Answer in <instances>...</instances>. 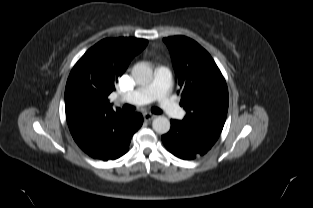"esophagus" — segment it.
Wrapping results in <instances>:
<instances>
[{
	"label": "esophagus",
	"instance_id": "34e87169",
	"mask_svg": "<svg viewBox=\"0 0 313 208\" xmlns=\"http://www.w3.org/2000/svg\"><path fill=\"white\" fill-rule=\"evenodd\" d=\"M155 117H156V115L151 114V113H144L143 114V118H144L145 121H151Z\"/></svg>",
	"mask_w": 313,
	"mask_h": 208
}]
</instances>
